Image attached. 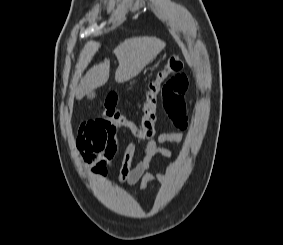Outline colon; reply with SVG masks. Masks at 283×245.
<instances>
[{"label": "colon", "mask_w": 283, "mask_h": 245, "mask_svg": "<svg viewBox=\"0 0 283 245\" xmlns=\"http://www.w3.org/2000/svg\"><path fill=\"white\" fill-rule=\"evenodd\" d=\"M184 67L178 56L171 57L166 66L151 80L145 93L143 115L139 123H135L117 109L116 94H109L104 103L100 119L117 130H125L138 139H149L156 132L157 111L161 104V92L164 82L170 75L179 73Z\"/></svg>", "instance_id": "1"}]
</instances>
